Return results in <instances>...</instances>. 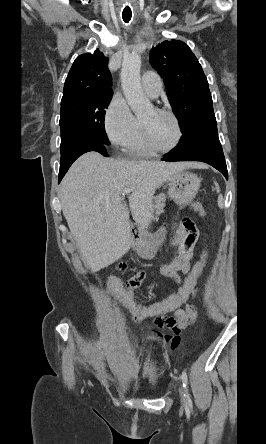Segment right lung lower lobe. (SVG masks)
Segmentation results:
<instances>
[{
    "mask_svg": "<svg viewBox=\"0 0 266 444\" xmlns=\"http://www.w3.org/2000/svg\"><path fill=\"white\" fill-rule=\"evenodd\" d=\"M106 146L107 145L98 140H86L80 143L73 151L61 158L58 182L60 183L61 179L64 177L72 163L82 154L89 151H96L103 156H108Z\"/></svg>",
    "mask_w": 266,
    "mask_h": 444,
    "instance_id": "right-lung-lower-lobe-1",
    "label": "right lung lower lobe"
}]
</instances>
